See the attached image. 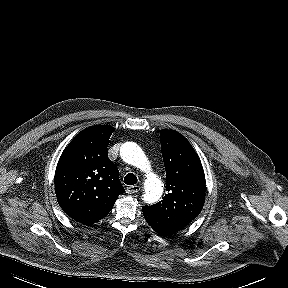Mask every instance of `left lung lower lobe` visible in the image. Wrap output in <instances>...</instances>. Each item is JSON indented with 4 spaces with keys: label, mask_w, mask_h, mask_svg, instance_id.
I'll list each match as a JSON object with an SVG mask.
<instances>
[{
    "label": "left lung lower lobe",
    "mask_w": 288,
    "mask_h": 288,
    "mask_svg": "<svg viewBox=\"0 0 288 288\" xmlns=\"http://www.w3.org/2000/svg\"><path fill=\"white\" fill-rule=\"evenodd\" d=\"M143 209V214L146 222L152 227L153 230H155L157 233L161 235H171L175 234L178 232L180 229L175 228L171 225H168L159 219L154 218L149 214L144 208Z\"/></svg>",
    "instance_id": "0a47b994"
}]
</instances>
